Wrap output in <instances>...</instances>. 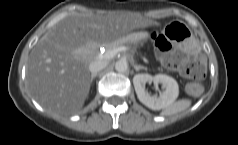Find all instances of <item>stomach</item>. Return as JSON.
Masks as SVG:
<instances>
[{"label": "stomach", "mask_w": 238, "mask_h": 145, "mask_svg": "<svg viewBox=\"0 0 238 145\" xmlns=\"http://www.w3.org/2000/svg\"><path fill=\"white\" fill-rule=\"evenodd\" d=\"M166 36L178 46H185L189 52L196 53L200 44L193 36L191 30L181 21H170L165 27Z\"/></svg>", "instance_id": "stomach-1"}]
</instances>
